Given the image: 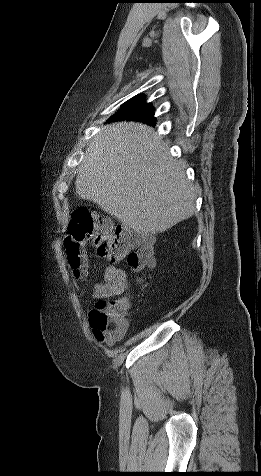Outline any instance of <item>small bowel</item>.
Returning <instances> with one entry per match:
<instances>
[{"label": "small bowel", "instance_id": "1", "mask_svg": "<svg viewBox=\"0 0 261 476\" xmlns=\"http://www.w3.org/2000/svg\"><path fill=\"white\" fill-rule=\"evenodd\" d=\"M130 290L127 273L116 266H108L102 276L100 282L96 283L93 288V298L103 300L114 296H120ZM128 307L130 302L124 298Z\"/></svg>", "mask_w": 261, "mask_h": 476}]
</instances>
